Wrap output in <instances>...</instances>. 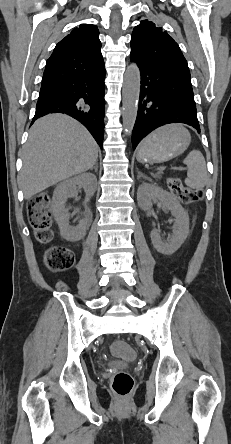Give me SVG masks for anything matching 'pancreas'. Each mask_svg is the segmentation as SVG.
I'll use <instances>...</instances> for the list:
<instances>
[{"label":"pancreas","mask_w":231,"mask_h":444,"mask_svg":"<svg viewBox=\"0 0 231 444\" xmlns=\"http://www.w3.org/2000/svg\"><path fill=\"white\" fill-rule=\"evenodd\" d=\"M154 176V178H160L161 177V174L160 173H157V174H155V175H153Z\"/></svg>","instance_id":"1"}]
</instances>
